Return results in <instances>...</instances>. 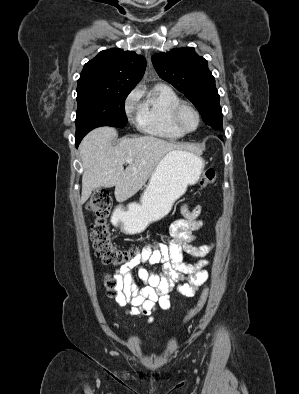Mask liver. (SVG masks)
Masks as SVG:
<instances>
[{
	"instance_id": "6515ba94",
	"label": "liver",
	"mask_w": 299,
	"mask_h": 394,
	"mask_svg": "<svg viewBox=\"0 0 299 394\" xmlns=\"http://www.w3.org/2000/svg\"><path fill=\"white\" fill-rule=\"evenodd\" d=\"M117 131L100 127L88 133L80 144L84 168L81 203L99 187L115 186L117 201L123 202L135 195L152 176L163 157L182 146L153 136L124 138L116 146L112 140ZM132 163L124 170V163Z\"/></svg>"
}]
</instances>
